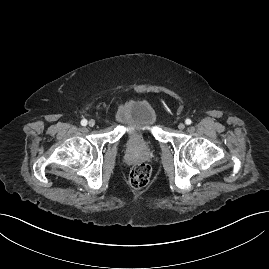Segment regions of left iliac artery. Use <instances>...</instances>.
Wrapping results in <instances>:
<instances>
[{
  "instance_id": "1",
  "label": "left iliac artery",
  "mask_w": 269,
  "mask_h": 269,
  "mask_svg": "<svg viewBox=\"0 0 269 269\" xmlns=\"http://www.w3.org/2000/svg\"><path fill=\"white\" fill-rule=\"evenodd\" d=\"M185 123H186L187 125H190V124L192 123V121H191L190 119H186V120H185Z\"/></svg>"
}]
</instances>
